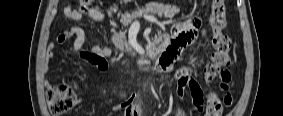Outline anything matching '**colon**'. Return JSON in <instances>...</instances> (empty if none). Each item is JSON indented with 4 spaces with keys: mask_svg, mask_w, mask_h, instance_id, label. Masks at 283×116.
<instances>
[{
    "mask_svg": "<svg viewBox=\"0 0 283 116\" xmlns=\"http://www.w3.org/2000/svg\"><path fill=\"white\" fill-rule=\"evenodd\" d=\"M80 9L88 11L90 0H79ZM209 23L212 29V44L214 52L209 64L204 68V79L208 86L220 79L224 83H229L231 74L226 68L230 65L231 39L224 33L227 26L226 7L224 0H213ZM75 94L66 83L52 85L48 91L49 109L53 115H62L68 112L75 104ZM231 104L230 98H221L216 92L210 91L207 94L206 111L209 116H220L225 107Z\"/></svg>",
    "mask_w": 283,
    "mask_h": 116,
    "instance_id": "5ec220e1",
    "label": "colon"
}]
</instances>
